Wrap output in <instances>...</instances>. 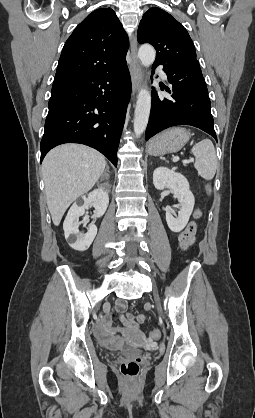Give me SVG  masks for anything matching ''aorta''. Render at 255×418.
Instances as JSON below:
<instances>
[{"label": "aorta", "mask_w": 255, "mask_h": 418, "mask_svg": "<svg viewBox=\"0 0 255 418\" xmlns=\"http://www.w3.org/2000/svg\"><path fill=\"white\" fill-rule=\"evenodd\" d=\"M155 50L149 44H144L139 48L138 57L143 66L149 67L155 60ZM151 110V94L147 87L141 88L136 102L135 117H134V132L136 135H141L148 124Z\"/></svg>", "instance_id": "1"}]
</instances>
